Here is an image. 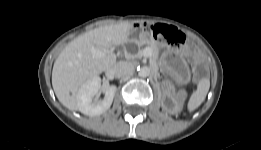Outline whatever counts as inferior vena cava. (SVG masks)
Wrapping results in <instances>:
<instances>
[{"instance_id":"inferior-vena-cava-1","label":"inferior vena cava","mask_w":261,"mask_h":150,"mask_svg":"<svg viewBox=\"0 0 261 150\" xmlns=\"http://www.w3.org/2000/svg\"><path fill=\"white\" fill-rule=\"evenodd\" d=\"M113 72L116 77H129L134 73V66L127 61H120L113 67Z\"/></svg>"}]
</instances>
